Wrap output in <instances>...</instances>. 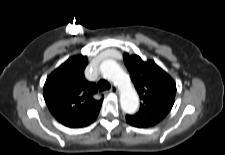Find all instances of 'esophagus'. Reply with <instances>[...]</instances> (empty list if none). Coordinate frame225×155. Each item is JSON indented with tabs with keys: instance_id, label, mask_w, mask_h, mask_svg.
<instances>
[{
	"instance_id": "34e87169",
	"label": "esophagus",
	"mask_w": 225,
	"mask_h": 155,
	"mask_svg": "<svg viewBox=\"0 0 225 155\" xmlns=\"http://www.w3.org/2000/svg\"><path fill=\"white\" fill-rule=\"evenodd\" d=\"M110 93H118V89L115 86H112L111 89L109 90Z\"/></svg>"
}]
</instances>
